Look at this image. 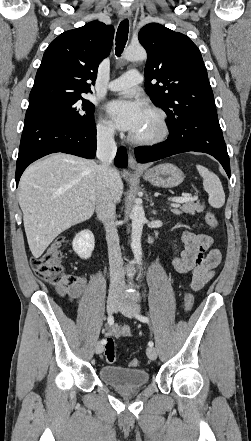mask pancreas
Listing matches in <instances>:
<instances>
[{
	"label": "pancreas",
	"instance_id": "obj_1",
	"mask_svg": "<svg viewBox=\"0 0 251 441\" xmlns=\"http://www.w3.org/2000/svg\"><path fill=\"white\" fill-rule=\"evenodd\" d=\"M203 210L204 206L200 205L198 201L194 202L193 200L185 202L182 206H173L171 209L176 215H180L182 212L194 215L196 211L202 212Z\"/></svg>",
	"mask_w": 251,
	"mask_h": 441
}]
</instances>
